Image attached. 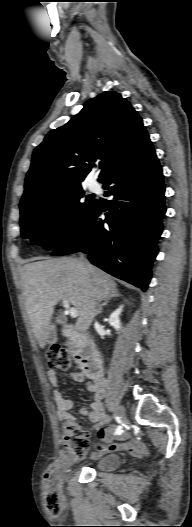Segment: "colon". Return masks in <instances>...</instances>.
<instances>
[{"label":"colon","instance_id":"5ec220e1","mask_svg":"<svg viewBox=\"0 0 192 527\" xmlns=\"http://www.w3.org/2000/svg\"><path fill=\"white\" fill-rule=\"evenodd\" d=\"M48 357L52 368L68 371L74 367L70 354L60 347H52ZM62 443L69 458H83L90 447L89 433L75 420L66 421L62 427ZM46 501L50 506L57 504L54 494L47 495Z\"/></svg>","mask_w":192,"mask_h":527}]
</instances>
